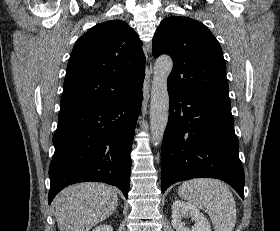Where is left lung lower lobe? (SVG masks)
<instances>
[{
    "instance_id": "0a47b994",
    "label": "left lung lower lobe",
    "mask_w": 280,
    "mask_h": 231,
    "mask_svg": "<svg viewBox=\"0 0 280 231\" xmlns=\"http://www.w3.org/2000/svg\"><path fill=\"white\" fill-rule=\"evenodd\" d=\"M169 120L161 152V188L192 178H217L244 199V171L228 102L168 88Z\"/></svg>"
}]
</instances>
